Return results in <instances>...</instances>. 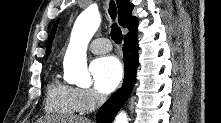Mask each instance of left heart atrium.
I'll use <instances>...</instances> for the list:
<instances>
[{
	"mask_svg": "<svg viewBox=\"0 0 221 123\" xmlns=\"http://www.w3.org/2000/svg\"><path fill=\"white\" fill-rule=\"evenodd\" d=\"M90 71L96 88L102 93H110L120 83L123 68L120 61L114 56H103L95 59Z\"/></svg>",
	"mask_w": 221,
	"mask_h": 123,
	"instance_id": "left-heart-atrium-1",
	"label": "left heart atrium"
}]
</instances>
